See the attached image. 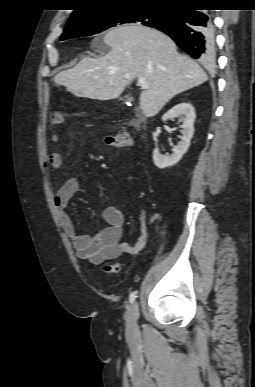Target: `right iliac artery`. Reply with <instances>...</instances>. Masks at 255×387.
Segmentation results:
<instances>
[{"mask_svg":"<svg viewBox=\"0 0 255 387\" xmlns=\"http://www.w3.org/2000/svg\"><path fill=\"white\" fill-rule=\"evenodd\" d=\"M136 291H134V292H132L131 294H130V298H129V300H130V303H133L134 301H135V299H136Z\"/></svg>","mask_w":255,"mask_h":387,"instance_id":"obj_1","label":"right iliac artery"}]
</instances>
